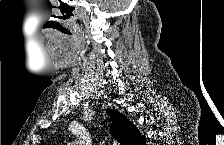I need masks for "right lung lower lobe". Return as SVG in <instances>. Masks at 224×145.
<instances>
[{"instance_id":"obj_1","label":"right lung lower lobe","mask_w":224,"mask_h":145,"mask_svg":"<svg viewBox=\"0 0 224 145\" xmlns=\"http://www.w3.org/2000/svg\"><path fill=\"white\" fill-rule=\"evenodd\" d=\"M145 141H146V138L142 139V141H141L140 145L145 144Z\"/></svg>"}]
</instances>
